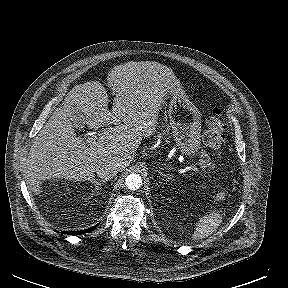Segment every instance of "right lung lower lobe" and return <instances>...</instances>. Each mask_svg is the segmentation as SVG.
I'll list each match as a JSON object with an SVG mask.
<instances>
[{"instance_id":"98d812e1","label":"right lung lower lobe","mask_w":288,"mask_h":288,"mask_svg":"<svg viewBox=\"0 0 288 288\" xmlns=\"http://www.w3.org/2000/svg\"><path fill=\"white\" fill-rule=\"evenodd\" d=\"M97 226V225H96ZM96 226H93V227H91V228H88V229H85V230H82V231H77V232H69V234L71 233V234H84V233H88V232H91V231H93L95 228H96ZM67 233V232H66Z\"/></svg>"}]
</instances>
